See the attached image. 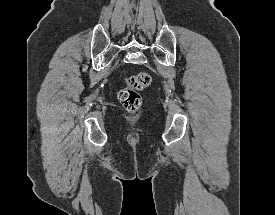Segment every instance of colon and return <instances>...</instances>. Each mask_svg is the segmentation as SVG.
I'll list each match as a JSON object with an SVG mask.
<instances>
[{
  "instance_id": "colon-1",
  "label": "colon",
  "mask_w": 275,
  "mask_h": 215,
  "mask_svg": "<svg viewBox=\"0 0 275 215\" xmlns=\"http://www.w3.org/2000/svg\"><path fill=\"white\" fill-rule=\"evenodd\" d=\"M151 81L148 72H139L126 80L125 86L119 90L118 99L128 112L134 113L140 108L142 98L139 92L148 87Z\"/></svg>"
}]
</instances>
